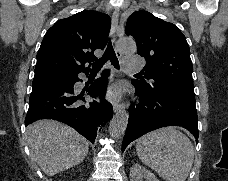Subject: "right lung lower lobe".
Listing matches in <instances>:
<instances>
[{"instance_id": "98d812e1", "label": "right lung lower lobe", "mask_w": 228, "mask_h": 181, "mask_svg": "<svg viewBox=\"0 0 228 181\" xmlns=\"http://www.w3.org/2000/svg\"><path fill=\"white\" fill-rule=\"evenodd\" d=\"M81 72L87 75L89 70L33 80L25 124L39 119L58 120L94 143L97 127L105 125L113 116V107L104 97L109 70H105L101 78L82 90L75 85L81 81L78 78ZM88 96L99 97L100 103L88 102Z\"/></svg>"}]
</instances>
